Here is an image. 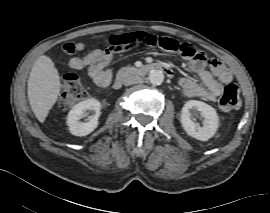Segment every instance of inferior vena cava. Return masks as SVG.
Wrapping results in <instances>:
<instances>
[{"label":"inferior vena cava","mask_w":270,"mask_h":213,"mask_svg":"<svg viewBox=\"0 0 270 213\" xmlns=\"http://www.w3.org/2000/svg\"><path fill=\"white\" fill-rule=\"evenodd\" d=\"M140 82H142V78L140 76H137V75H129L126 78H124V80H123V84L126 86L137 84Z\"/></svg>","instance_id":"602c4592"}]
</instances>
